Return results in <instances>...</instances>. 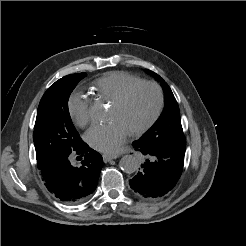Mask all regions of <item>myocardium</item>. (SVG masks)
Masks as SVG:
<instances>
[{"instance_id": "myocardium-1", "label": "myocardium", "mask_w": 246, "mask_h": 246, "mask_svg": "<svg viewBox=\"0 0 246 246\" xmlns=\"http://www.w3.org/2000/svg\"><path fill=\"white\" fill-rule=\"evenodd\" d=\"M142 86H151L153 87L158 95V102H157V107L155 109L154 114L152 115V117L141 127L130 131V134L133 136H140L142 134H144L145 132H147L159 119L163 107H164V93L163 90L161 88V86L154 82V81H149V80H141L135 84L130 85L129 87H127L113 102L112 104L115 106H121L123 105L128 98L131 96V94L138 88L142 87Z\"/></svg>"}]
</instances>
